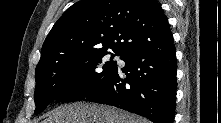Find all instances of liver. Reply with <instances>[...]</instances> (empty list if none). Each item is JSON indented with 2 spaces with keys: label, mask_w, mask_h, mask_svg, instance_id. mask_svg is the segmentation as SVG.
Returning a JSON list of instances; mask_svg holds the SVG:
<instances>
[{
  "label": "liver",
  "mask_w": 221,
  "mask_h": 123,
  "mask_svg": "<svg viewBox=\"0 0 221 123\" xmlns=\"http://www.w3.org/2000/svg\"><path fill=\"white\" fill-rule=\"evenodd\" d=\"M42 123H148L111 106L76 102L54 109Z\"/></svg>",
  "instance_id": "6515ba94"
}]
</instances>
